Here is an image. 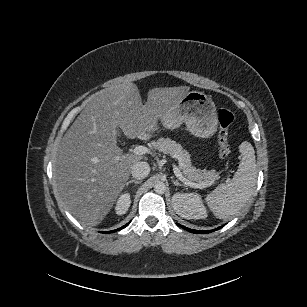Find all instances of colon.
I'll list each match as a JSON object with an SVG mask.
<instances>
[{"label": "colon", "instance_id": "1", "mask_svg": "<svg viewBox=\"0 0 307 307\" xmlns=\"http://www.w3.org/2000/svg\"><path fill=\"white\" fill-rule=\"evenodd\" d=\"M234 115L231 111L227 109H221L218 112V121H219V154L221 157L225 158L231 154V148L228 142L229 128L233 123Z\"/></svg>", "mask_w": 307, "mask_h": 307}]
</instances>
